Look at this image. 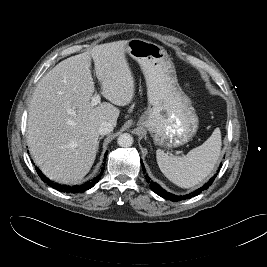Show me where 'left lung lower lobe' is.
<instances>
[{
  "label": "left lung lower lobe",
  "mask_w": 267,
  "mask_h": 267,
  "mask_svg": "<svg viewBox=\"0 0 267 267\" xmlns=\"http://www.w3.org/2000/svg\"><path fill=\"white\" fill-rule=\"evenodd\" d=\"M141 165H142V170L144 173H146L145 169H144V165L143 162L141 161ZM222 165H220L221 168ZM219 172V170L217 171ZM217 176V174H215L204 186H202L201 188L197 189L196 191L187 194L185 196H176L173 195L171 193H168L167 191H165L163 188H161V186H159L157 183L153 182L150 180V178L148 177V175L146 174V181L150 184L151 189L158 194L159 196L163 197L164 199H168L171 201H180L182 199H188L191 197H194L198 194H200L202 191L206 190L214 181V178Z\"/></svg>",
  "instance_id": "left-lung-lower-lobe-1"
}]
</instances>
